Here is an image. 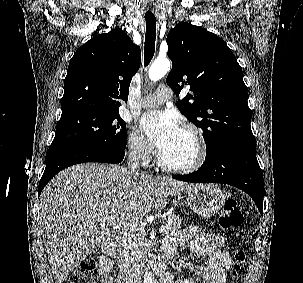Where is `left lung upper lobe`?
Listing matches in <instances>:
<instances>
[{
  "mask_svg": "<svg viewBox=\"0 0 303 283\" xmlns=\"http://www.w3.org/2000/svg\"><path fill=\"white\" fill-rule=\"evenodd\" d=\"M167 44L173 66L166 82L176 95L190 87L178 109L203 131L206 157L232 140L254 139L242 68L227 44L190 23L171 29Z\"/></svg>",
  "mask_w": 303,
  "mask_h": 283,
  "instance_id": "left-lung-upper-lobe-1",
  "label": "left lung upper lobe"
}]
</instances>
